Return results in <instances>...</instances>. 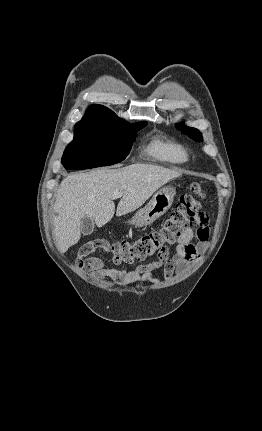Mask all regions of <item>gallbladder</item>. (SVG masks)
Here are the masks:
<instances>
[{
  "instance_id": "1",
  "label": "gallbladder",
  "mask_w": 262,
  "mask_h": 431,
  "mask_svg": "<svg viewBox=\"0 0 262 431\" xmlns=\"http://www.w3.org/2000/svg\"><path fill=\"white\" fill-rule=\"evenodd\" d=\"M94 230V221L92 218L85 216L81 220V233L84 236L91 235Z\"/></svg>"
}]
</instances>
